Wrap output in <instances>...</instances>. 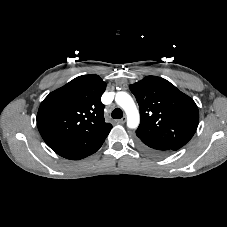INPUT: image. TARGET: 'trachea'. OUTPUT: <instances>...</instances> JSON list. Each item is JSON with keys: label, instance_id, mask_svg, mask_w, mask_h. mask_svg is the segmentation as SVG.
Segmentation results:
<instances>
[{"label": "trachea", "instance_id": "1", "mask_svg": "<svg viewBox=\"0 0 227 227\" xmlns=\"http://www.w3.org/2000/svg\"><path fill=\"white\" fill-rule=\"evenodd\" d=\"M112 118L114 119H120L122 118L123 116V112L120 108H116L112 111V114H111Z\"/></svg>", "mask_w": 227, "mask_h": 227}]
</instances>
